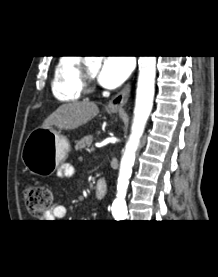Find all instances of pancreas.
Returning a JSON list of instances; mask_svg holds the SVG:
<instances>
[{
  "instance_id": "obj_1",
  "label": "pancreas",
  "mask_w": 218,
  "mask_h": 277,
  "mask_svg": "<svg viewBox=\"0 0 218 277\" xmlns=\"http://www.w3.org/2000/svg\"><path fill=\"white\" fill-rule=\"evenodd\" d=\"M92 141H93L92 135L86 136L77 142L75 149L76 150L86 149V148L90 147V145L92 144Z\"/></svg>"
}]
</instances>
